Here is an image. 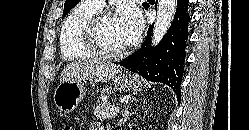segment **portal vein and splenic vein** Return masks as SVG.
I'll list each match as a JSON object with an SVG mask.
<instances>
[{
  "instance_id": "portal-vein-and-splenic-vein-1",
  "label": "portal vein and splenic vein",
  "mask_w": 249,
  "mask_h": 130,
  "mask_svg": "<svg viewBox=\"0 0 249 130\" xmlns=\"http://www.w3.org/2000/svg\"><path fill=\"white\" fill-rule=\"evenodd\" d=\"M120 112V108L119 107H115V108H112L111 111H110V114L111 115H116Z\"/></svg>"
}]
</instances>
